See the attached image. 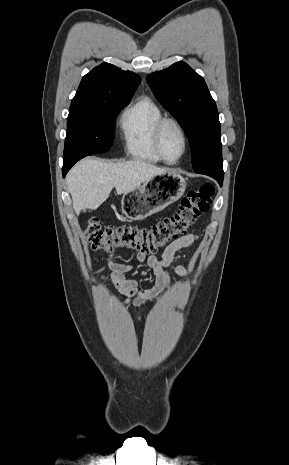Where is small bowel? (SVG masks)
I'll return each instance as SVG.
<instances>
[{
    "label": "small bowel",
    "mask_w": 289,
    "mask_h": 465,
    "mask_svg": "<svg viewBox=\"0 0 289 465\" xmlns=\"http://www.w3.org/2000/svg\"><path fill=\"white\" fill-rule=\"evenodd\" d=\"M198 240L199 237L195 234L184 235L171 242L164 249L160 257L155 255L146 256V254L138 252L135 263L145 264L146 268L134 278L126 277V273L131 271L135 265L113 262L112 254H110L107 258V264L111 270L109 280L112 283L113 289L127 297L125 301L126 305H143L158 299L170 285V275L167 269L171 267L175 253L183 248L192 246ZM173 271L180 277L188 276V271L184 266H176ZM148 273L154 274L155 284L153 287L141 291L138 285ZM102 278L106 279L105 276H102Z\"/></svg>",
    "instance_id": "c3829d8e"
}]
</instances>
